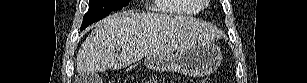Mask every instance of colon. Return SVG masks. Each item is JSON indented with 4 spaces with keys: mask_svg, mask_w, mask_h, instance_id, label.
<instances>
[{
    "mask_svg": "<svg viewBox=\"0 0 307 83\" xmlns=\"http://www.w3.org/2000/svg\"><path fill=\"white\" fill-rule=\"evenodd\" d=\"M201 83H214V80L211 78H205L201 81Z\"/></svg>",
    "mask_w": 307,
    "mask_h": 83,
    "instance_id": "1",
    "label": "colon"
}]
</instances>
